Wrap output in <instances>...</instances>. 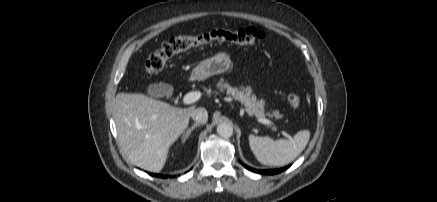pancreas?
Returning <instances> with one entry per match:
<instances>
[{
    "mask_svg": "<svg viewBox=\"0 0 437 202\" xmlns=\"http://www.w3.org/2000/svg\"><path fill=\"white\" fill-rule=\"evenodd\" d=\"M217 86L220 91H224L226 89L227 95L244 104L245 110L249 115L264 117V101H259L256 99L255 95H251L252 91L250 88H242L240 90L237 87H231L229 84L224 83L223 79H221ZM273 115L280 117L278 111H275Z\"/></svg>",
    "mask_w": 437,
    "mask_h": 202,
    "instance_id": "pancreas-1",
    "label": "pancreas"
}]
</instances>
